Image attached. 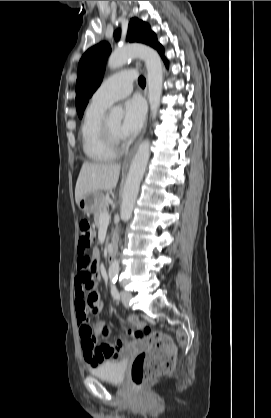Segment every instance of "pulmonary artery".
<instances>
[{
    "label": "pulmonary artery",
    "instance_id": "e3ab8cb5",
    "mask_svg": "<svg viewBox=\"0 0 271 418\" xmlns=\"http://www.w3.org/2000/svg\"><path fill=\"white\" fill-rule=\"evenodd\" d=\"M136 78L135 70H122L107 78L92 96V102L110 106L114 102L128 96Z\"/></svg>",
    "mask_w": 271,
    "mask_h": 418
}]
</instances>
